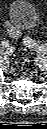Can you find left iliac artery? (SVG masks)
Wrapping results in <instances>:
<instances>
[{
  "label": "left iliac artery",
  "instance_id": "44dca946",
  "mask_svg": "<svg viewBox=\"0 0 47 129\" xmlns=\"http://www.w3.org/2000/svg\"><path fill=\"white\" fill-rule=\"evenodd\" d=\"M30 47L35 48V49H39V50H43V51H46L47 50V46L46 45H38L34 41H32Z\"/></svg>",
  "mask_w": 47,
  "mask_h": 129
}]
</instances>
